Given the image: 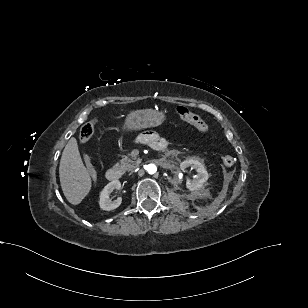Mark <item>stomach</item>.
Instances as JSON below:
<instances>
[{
  "label": "stomach",
  "instance_id": "0dacf381",
  "mask_svg": "<svg viewBox=\"0 0 308 308\" xmlns=\"http://www.w3.org/2000/svg\"><path fill=\"white\" fill-rule=\"evenodd\" d=\"M166 120L162 111L154 109H137L131 111L123 124L125 131H137L150 127H157Z\"/></svg>",
  "mask_w": 308,
  "mask_h": 308
}]
</instances>
